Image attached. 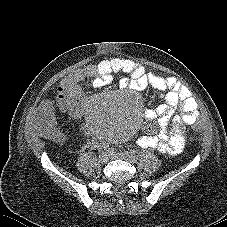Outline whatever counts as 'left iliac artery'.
<instances>
[{
	"instance_id": "44dca946",
	"label": "left iliac artery",
	"mask_w": 227,
	"mask_h": 227,
	"mask_svg": "<svg viewBox=\"0 0 227 227\" xmlns=\"http://www.w3.org/2000/svg\"><path fill=\"white\" fill-rule=\"evenodd\" d=\"M130 153H131L132 155H135V152H134V151H131Z\"/></svg>"
}]
</instances>
